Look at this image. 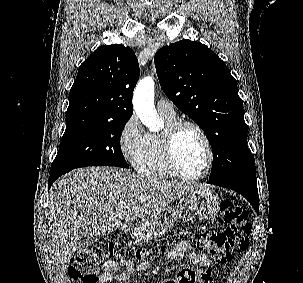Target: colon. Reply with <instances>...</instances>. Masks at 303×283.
<instances>
[{
	"instance_id": "1",
	"label": "colon",
	"mask_w": 303,
	"mask_h": 283,
	"mask_svg": "<svg viewBox=\"0 0 303 283\" xmlns=\"http://www.w3.org/2000/svg\"><path fill=\"white\" fill-rule=\"evenodd\" d=\"M222 218L226 224L223 231L201 232L196 235L197 245L205 250L218 263H228L238 250L248 245L251 223L248 221L247 209L224 200L220 204ZM165 253L163 246L152 248H130L117 242H106L81 250L75 254L68 266V276L82 283H98L99 272L103 265L118 258H131L137 261ZM203 271L186 268L165 283H200Z\"/></svg>"
}]
</instances>
